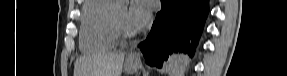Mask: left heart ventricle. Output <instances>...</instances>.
Segmentation results:
<instances>
[{"label":"left heart ventricle","instance_id":"obj_1","mask_svg":"<svg viewBox=\"0 0 287 76\" xmlns=\"http://www.w3.org/2000/svg\"><path fill=\"white\" fill-rule=\"evenodd\" d=\"M118 20L128 29L134 30L128 20V9L125 6H118L114 9Z\"/></svg>","mask_w":287,"mask_h":76}]
</instances>
